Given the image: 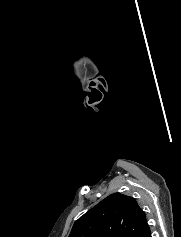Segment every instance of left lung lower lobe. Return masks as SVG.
Returning <instances> with one entry per match:
<instances>
[{"label": "left lung lower lobe", "mask_w": 181, "mask_h": 237, "mask_svg": "<svg viewBox=\"0 0 181 237\" xmlns=\"http://www.w3.org/2000/svg\"><path fill=\"white\" fill-rule=\"evenodd\" d=\"M140 237H151L149 226L144 230Z\"/></svg>", "instance_id": "0a47b994"}]
</instances>
